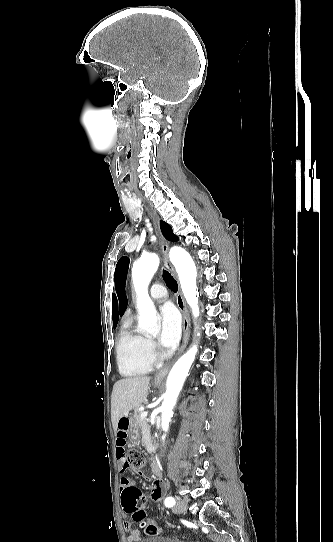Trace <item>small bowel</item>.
I'll return each instance as SVG.
<instances>
[{
  "label": "small bowel",
  "mask_w": 333,
  "mask_h": 542,
  "mask_svg": "<svg viewBox=\"0 0 333 542\" xmlns=\"http://www.w3.org/2000/svg\"><path fill=\"white\" fill-rule=\"evenodd\" d=\"M129 432V419L127 417H122L118 421L117 430H116V450H117V458L119 463V469L121 472H124L127 468V455L125 452V447L127 443V436ZM132 488V484L130 480L122 476L120 478V493H121V500L123 497H130V489ZM166 490V485L162 478L156 476L153 478L151 482V491H150V498L154 502H159ZM127 512L126 508H124ZM122 519H127V514H122ZM124 529L128 532V542H142L141 533L139 530L134 529L132 526V523L130 521H124L123 522Z\"/></svg>",
  "instance_id": "c3829d8e"
}]
</instances>
